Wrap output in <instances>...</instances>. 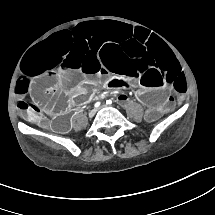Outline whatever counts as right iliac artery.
Masks as SVG:
<instances>
[{"label":"right iliac artery","instance_id":"obj_1","mask_svg":"<svg viewBox=\"0 0 215 215\" xmlns=\"http://www.w3.org/2000/svg\"><path fill=\"white\" fill-rule=\"evenodd\" d=\"M98 106H100V102H97V103L95 104V107H98Z\"/></svg>","mask_w":215,"mask_h":215}]
</instances>
